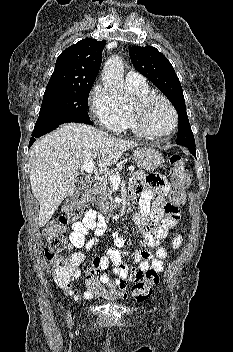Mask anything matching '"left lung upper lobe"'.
<instances>
[{
    "label": "left lung upper lobe",
    "mask_w": 233,
    "mask_h": 352,
    "mask_svg": "<svg viewBox=\"0 0 233 352\" xmlns=\"http://www.w3.org/2000/svg\"><path fill=\"white\" fill-rule=\"evenodd\" d=\"M129 55L134 67L163 92L174 105L179 118L176 143L185 147H195L182 87L171 63L152 46H134L129 49Z\"/></svg>",
    "instance_id": "1"
}]
</instances>
